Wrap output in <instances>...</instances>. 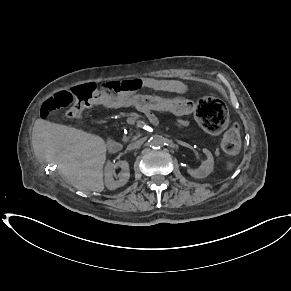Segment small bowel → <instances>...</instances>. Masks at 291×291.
<instances>
[{
	"label": "small bowel",
	"mask_w": 291,
	"mask_h": 291,
	"mask_svg": "<svg viewBox=\"0 0 291 291\" xmlns=\"http://www.w3.org/2000/svg\"><path fill=\"white\" fill-rule=\"evenodd\" d=\"M128 87L125 93H128L134 99L136 93L142 88H148L158 91H166L176 93L177 96H183V94L187 91L186 85L177 80H166V79H155V78H134L123 81ZM176 97V96H175ZM134 103V102H133ZM132 103V104H133ZM108 106V104H106ZM109 107V106H108ZM119 108H122L121 106ZM148 115L149 118H153L151 112H144ZM171 113V112H168Z\"/></svg>",
	"instance_id": "1"
}]
</instances>
